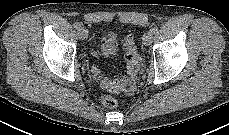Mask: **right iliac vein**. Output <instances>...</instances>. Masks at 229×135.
Masks as SVG:
<instances>
[{
    "mask_svg": "<svg viewBox=\"0 0 229 135\" xmlns=\"http://www.w3.org/2000/svg\"><path fill=\"white\" fill-rule=\"evenodd\" d=\"M78 35L81 40H85L88 37V30L86 28H81Z\"/></svg>",
    "mask_w": 229,
    "mask_h": 135,
    "instance_id": "1",
    "label": "right iliac vein"
}]
</instances>
